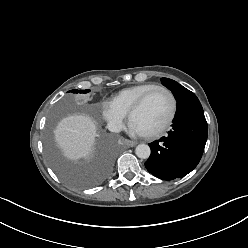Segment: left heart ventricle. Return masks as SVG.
<instances>
[{
	"label": "left heart ventricle",
	"instance_id": "1",
	"mask_svg": "<svg viewBox=\"0 0 248 248\" xmlns=\"http://www.w3.org/2000/svg\"><path fill=\"white\" fill-rule=\"evenodd\" d=\"M170 112L171 101L169 96L163 91H157L134 114L131 124L137 127L142 134L152 133L167 121Z\"/></svg>",
	"mask_w": 248,
	"mask_h": 248
}]
</instances>
